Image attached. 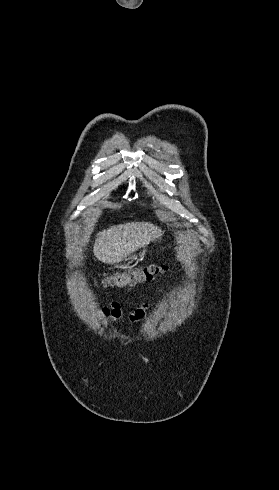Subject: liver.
<instances>
[{"instance_id": "obj_1", "label": "liver", "mask_w": 279, "mask_h": 490, "mask_svg": "<svg viewBox=\"0 0 279 490\" xmlns=\"http://www.w3.org/2000/svg\"><path fill=\"white\" fill-rule=\"evenodd\" d=\"M162 236L161 230L149 222H131L102 230L96 236L93 254L103 264H119L127 256L145 248Z\"/></svg>"}]
</instances>
